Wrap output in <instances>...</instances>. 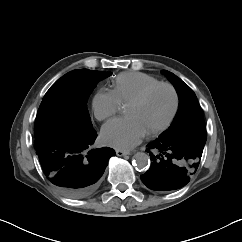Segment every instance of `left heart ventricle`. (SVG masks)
Masks as SVG:
<instances>
[{
	"instance_id": "1",
	"label": "left heart ventricle",
	"mask_w": 242,
	"mask_h": 242,
	"mask_svg": "<svg viewBox=\"0 0 242 242\" xmlns=\"http://www.w3.org/2000/svg\"><path fill=\"white\" fill-rule=\"evenodd\" d=\"M174 106V96L167 87H159L148 98L137 104H129L126 113L136 118L146 132L162 125L169 118Z\"/></svg>"
}]
</instances>
